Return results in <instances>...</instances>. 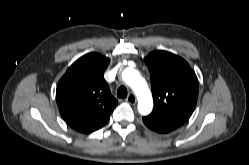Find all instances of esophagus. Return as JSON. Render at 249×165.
<instances>
[{"label":"esophagus","instance_id":"obj_1","mask_svg":"<svg viewBox=\"0 0 249 165\" xmlns=\"http://www.w3.org/2000/svg\"><path fill=\"white\" fill-rule=\"evenodd\" d=\"M126 101H127L128 103L134 105V104H136V102H137V98H136L135 94L131 92V93L128 95Z\"/></svg>","mask_w":249,"mask_h":165}]
</instances>
